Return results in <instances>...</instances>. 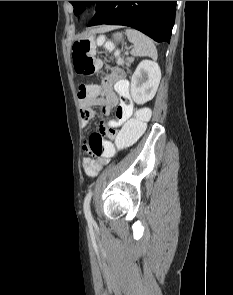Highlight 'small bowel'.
Here are the masks:
<instances>
[{"label":"small bowel","instance_id":"c3829d8e","mask_svg":"<svg viewBox=\"0 0 233 295\" xmlns=\"http://www.w3.org/2000/svg\"><path fill=\"white\" fill-rule=\"evenodd\" d=\"M81 106L80 114L84 125H88L95 117L94 108L99 106L104 114H111L115 110V118L102 120L100 132L108 129H116L131 119L134 113V105L130 94V84L120 70H114L107 76L97 95L79 98ZM85 152L90 153L88 143L84 145ZM108 158L85 157L82 160V168L88 177L97 176L107 164Z\"/></svg>","mask_w":233,"mask_h":295}]
</instances>
